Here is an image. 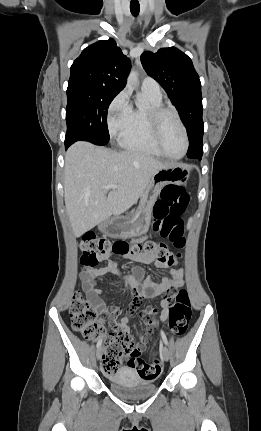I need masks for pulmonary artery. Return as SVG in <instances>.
<instances>
[{"label":"pulmonary artery","instance_id":"1","mask_svg":"<svg viewBox=\"0 0 261 431\" xmlns=\"http://www.w3.org/2000/svg\"><path fill=\"white\" fill-rule=\"evenodd\" d=\"M142 89L144 91H148L154 95H161V89L158 82L151 78V77H145L142 81Z\"/></svg>","mask_w":261,"mask_h":431}]
</instances>
